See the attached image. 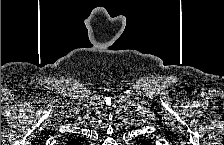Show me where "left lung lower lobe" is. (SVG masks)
<instances>
[{"instance_id":"left-lung-lower-lobe-1","label":"left lung lower lobe","mask_w":224,"mask_h":145,"mask_svg":"<svg viewBox=\"0 0 224 145\" xmlns=\"http://www.w3.org/2000/svg\"><path fill=\"white\" fill-rule=\"evenodd\" d=\"M149 144H150L149 141H145V142L143 143V145H149Z\"/></svg>"}]
</instances>
